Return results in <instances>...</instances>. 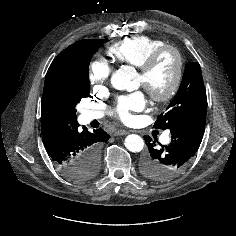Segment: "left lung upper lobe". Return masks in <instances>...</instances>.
Here are the masks:
<instances>
[{
	"instance_id": "left-lung-upper-lobe-1",
	"label": "left lung upper lobe",
	"mask_w": 236,
	"mask_h": 236,
	"mask_svg": "<svg viewBox=\"0 0 236 236\" xmlns=\"http://www.w3.org/2000/svg\"><path fill=\"white\" fill-rule=\"evenodd\" d=\"M206 110L207 97L200 66L198 63L188 62L179 91L166 111L158 116L154 128L170 129L184 117L197 112H206Z\"/></svg>"
}]
</instances>
